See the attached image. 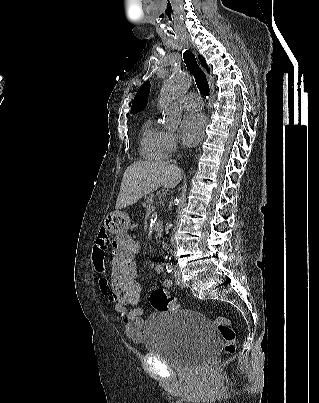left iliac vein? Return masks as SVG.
<instances>
[{
    "label": "left iliac vein",
    "mask_w": 319,
    "mask_h": 403,
    "mask_svg": "<svg viewBox=\"0 0 319 403\" xmlns=\"http://www.w3.org/2000/svg\"><path fill=\"white\" fill-rule=\"evenodd\" d=\"M174 280L178 286L185 287V282H184L181 272L178 268L174 269Z\"/></svg>",
    "instance_id": "left-iliac-vein-1"
}]
</instances>
